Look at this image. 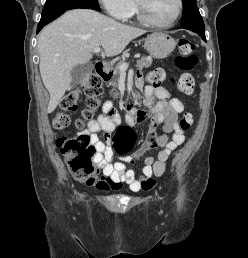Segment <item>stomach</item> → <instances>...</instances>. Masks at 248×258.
Listing matches in <instances>:
<instances>
[{"label":"stomach","instance_id":"obj_1","mask_svg":"<svg viewBox=\"0 0 248 258\" xmlns=\"http://www.w3.org/2000/svg\"><path fill=\"white\" fill-rule=\"evenodd\" d=\"M175 46V40L165 33H152L145 39V49L157 59L168 57Z\"/></svg>","mask_w":248,"mask_h":258}]
</instances>
